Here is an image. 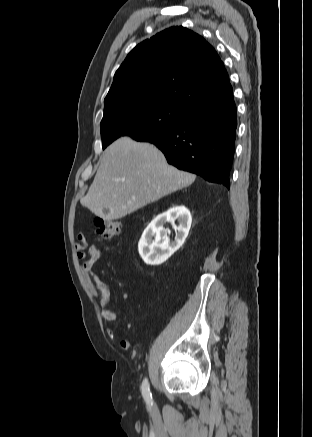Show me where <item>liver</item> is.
Returning a JSON list of instances; mask_svg holds the SVG:
<instances>
[{
	"mask_svg": "<svg viewBox=\"0 0 312 437\" xmlns=\"http://www.w3.org/2000/svg\"><path fill=\"white\" fill-rule=\"evenodd\" d=\"M195 178L169 165L153 144L121 137L104 151L81 204L96 216L117 220L189 186Z\"/></svg>",
	"mask_w": 312,
	"mask_h": 437,
	"instance_id": "6515ba94",
	"label": "liver"
}]
</instances>
